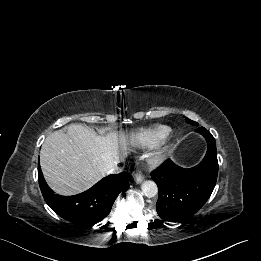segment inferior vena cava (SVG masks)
Listing matches in <instances>:
<instances>
[{"instance_id": "inferior-vena-cava-1", "label": "inferior vena cava", "mask_w": 261, "mask_h": 261, "mask_svg": "<svg viewBox=\"0 0 261 261\" xmlns=\"http://www.w3.org/2000/svg\"><path fill=\"white\" fill-rule=\"evenodd\" d=\"M121 171H122V169L118 165H115L111 169L108 170L107 174H117V173H120Z\"/></svg>"}]
</instances>
